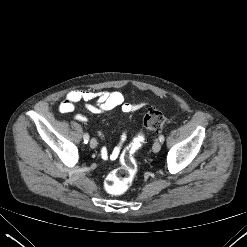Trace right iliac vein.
<instances>
[{
    "instance_id": "1",
    "label": "right iliac vein",
    "mask_w": 247,
    "mask_h": 247,
    "mask_svg": "<svg viewBox=\"0 0 247 247\" xmlns=\"http://www.w3.org/2000/svg\"><path fill=\"white\" fill-rule=\"evenodd\" d=\"M96 146H97V140L94 139V138H92V139L90 140V147H91V148H96Z\"/></svg>"
}]
</instances>
